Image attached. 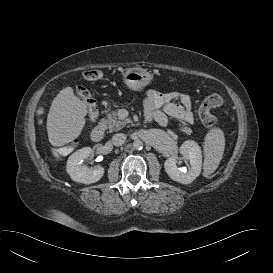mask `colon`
<instances>
[{
  "instance_id": "5ec220e1",
  "label": "colon",
  "mask_w": 273,
  "mask_h": 273,
  "mask_svg": "<svg viewBox=\"0 0 273 273\" xmlns=\"http://www.w3.org/2000/svg\"><path fill=\"white\" fill-rule=\"evenodd\" d=\"M83 77L89 81H98L102 79L103 73L97 68H90L83 72ZM76 93L86 102L91 120H95L98 115V108L89 89L84 86H77ZM222 103L223 99L218 94L209 95L200 103L198 116L204 125L211 127L217 124V119L211 114L210 110L221 106Z\"/></svg>"
}]
</instances>
